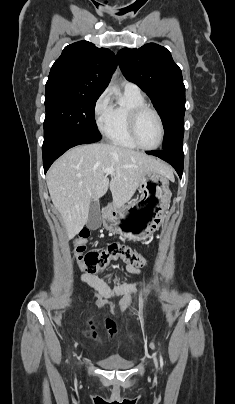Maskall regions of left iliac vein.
<instances>
[{
    "instance_id": "4c4485c4",
    "label": "left iliac vein",
    "mask_w": 235,
    "mask_h": 404,
    "mask_svg": "<svg viewBox=\"0 0 235 404\" xmlns=\"http://www.w3.org/2000/svg\"><path fill=\"white\" fill-rule=\"evenodd\" d=\"M153 360H154V364H155V366L157 367V366H158V364H157V359H156V357H155V356L153 357Z\"/></svg>"
}]
</instances>
